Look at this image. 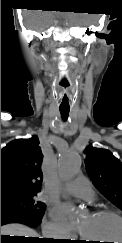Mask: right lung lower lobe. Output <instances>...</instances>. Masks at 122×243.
<instances>
[{
  "mask_svg": "<svg viewBox=\"0 0 122 243\" xmlns=\"http://www.w3.org/2000/svg\"><path fill=\"white\" fill-rule=\"evenodd\" d=\"M8 223H22L30 227H36L41 223V219L27 212L1 208V226ZM27 241L30 243H53V241L46 239H28Z\"/></svg>",
  "mask_w": 122,
  "mask_h": 243,
  "instance_id": "obj_1",
  "label": "right lung lower lobe"
}]
</instances>
